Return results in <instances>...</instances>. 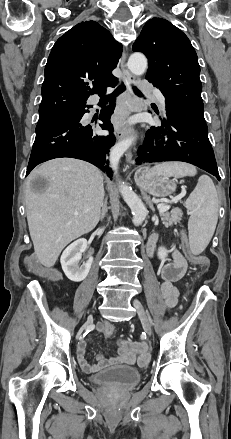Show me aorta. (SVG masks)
Listing matches in <instances>:
<instances>
[{
  "label": "aorta",
  "mask_w": 231,
  "mask_h": 439,
  "mask_svg": "<svg viewBox=\"0 0 231 439\" xmlns=\"http://www.w3.org/2000/svg\"><path fill=\"white\" fill-rule=\"evenodd\" d=\"M147 58L140 52L133 53L128 59V68L136 76L143 75L147 69ZM135 137L126 138L114 145L110 151V166L117 173L118 165L122 155L132 145ZM119 191L130 207L133 214V223L141 224L147 216V209L137 194L124 182H119Z\"/></svg>",
  "instance_id": "762f6f07"
}]
</instances>
